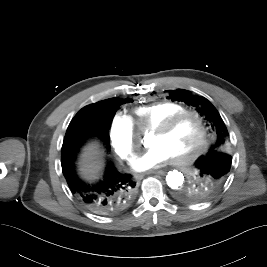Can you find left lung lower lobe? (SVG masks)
<instances>
[{
    "instance_id": "1",
    "label": "left lung lower lobe",
    "mask_w": 267,
    "mask_h": 267,
    "mask_svg": "<svg viewBox=\"0 0 267 267\" xmlns=\"http://www.w3.org/2000/svg\"><path fill=\"white\" fill-rule=\"evenodd\" d=\"M233 169L234 162L231 156L226 154H215L188 164L184 177L190 185L187 190L177 194L178 198L186 202L206 200L210 194L222 187Z\"/></svg>"
}]
</instances>
